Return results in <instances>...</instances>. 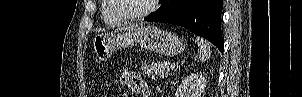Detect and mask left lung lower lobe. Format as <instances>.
<instances>
[{
    "mask_svg": "<svg viewBox=\"0 0 302 97\" xmlns=\"http://www.w3.org/2000/svg\"><path fill=\"white\" fill-rule=\"evenodd\" d=\"M222 8L223 0H163L160 8L144 20L182 26L209 40L223 52Z\"/></svg>",
    "mask_w": 302,
    "mask_h": 97,
    "instance_id": "obj_1",
    "label": "left lung lower lobe"
}]
</instances>
